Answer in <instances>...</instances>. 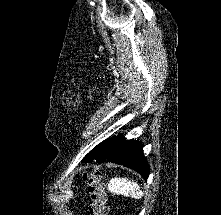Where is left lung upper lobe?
<instances>
[{
    "mask_svg": "<svg viewBox=\"0 0 221 215\" xmlns=\"http://www.w3.org/2000/svg\"><path fill=\"white\" fill-rule=\"evenodd\" d=\"M109 139L103 141L102 143L98 144L92 151H90L83 159L82 162H92L96 158H99L102 156L105 151L106 147L108 145Z\"/></svg>",
    "mask_w": 221,
    "mask_h": 215,
    "instance_id": "5c2ea615",
    "label": "left lung upper lobe"
}]
</instances>
